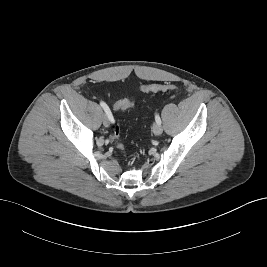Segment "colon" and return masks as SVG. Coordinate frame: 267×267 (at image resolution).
Segmentation results:
<instances>
[{
    "mask_svg": "<svg viewBox=\"0 0 267 267\" xmlns=\"http://www.w3.org/2000/svg\"><path fill=\"white\" fill-rule=\"evenodd\" d=\"M140 89L144 92H156V91H165V90H173L176 89V86L171 84H148L142 85ZM134 107V104L127 100H121L114 104V109L116 110H128ZM113 134L117 141V146L119 149L124 150V145L120 141V124L118 121H114L113 123Z\"/></svg>",
    "mask_w": 267,
    "mask_h": 267,
    "instance_id": "colon-1",
    "label": "colon"
}]
</instances>
